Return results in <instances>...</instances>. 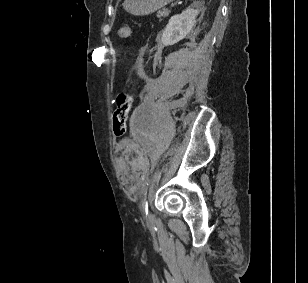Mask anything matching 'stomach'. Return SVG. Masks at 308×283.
Here are the masks:
<instances>
[{"mask_svg": "<svg viewBox=\"0 0 308 283\" xmlns=\"http://www.w3.org/2000/svg\"><path fill=\"white\" fill-rule=\"evenodd\" d=\"M173 0H125L124 9L132 15H149L169 4Z\"/></svg>", "mask_w": 308, "mask_h": 283, "instance_id": "obj_1", "label": "stomach"}]
</instances>
